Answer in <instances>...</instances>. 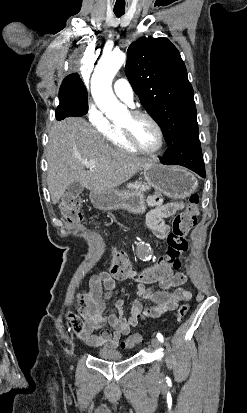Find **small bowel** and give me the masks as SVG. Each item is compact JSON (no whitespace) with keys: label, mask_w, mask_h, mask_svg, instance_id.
Masks as SVG:
<instances>
[{"label":"small bowel","mask_w":247,"mask_h":413,"mask_svg":"<svg viewBox=\"0 0 247 413\" xmlns=\"http://www.w3.org/2000/svg\"><path fill=\"white\" fill-rule=\"evenodd\" d=\"M147 203L151 207L146 216L148 227L159 237H165L169 232L165 218L182 210L184 204L165 203L159 195L150 196ZM124 281L123 274L111 277L108 271L92 276L89 279V289L78 293L75 299L74 307L79 316L71 312L66 314L67 330L89 346L114 348L120 338L128 335L140 320L160 317L191 298L190 291L182 287L186 276L181 272H175L174 277H159V282H153L160 286L156 291L141 289L140 282H135L138 298L131 303L129 315H126L122 299L116 300L113 308H107V301L116 291V283ZM141 299L149 300L152 304L143 306ZM106 327L113 331H108ZM95 331H100V334H94Z\"/></svg>","instance_id":"obj_1"}]
</instances>
